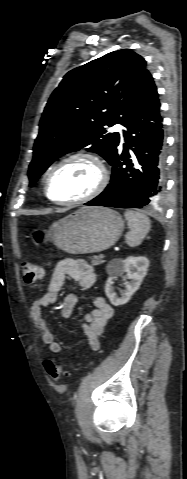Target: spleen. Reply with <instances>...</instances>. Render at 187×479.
<instances>
[{"instance_id":"spleen-1","label":"spleen","mask_w":187,"mask_h":479,"mask_svg":"<svg viewBox=\"0 0 187 479\" xmlns=\"http://www.w3.org/2000/svg\"><path fill=\"white\" fill-rule=\"evenodd\" d=\"M124 216L130 229L125 236L126 242L132 248L139 246L150 230V219L145 214L133 210H126Z\"/></svg>"}]
</instances>
